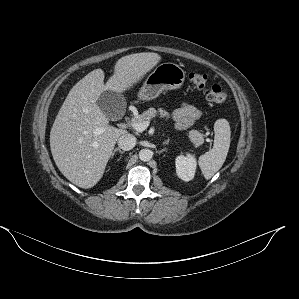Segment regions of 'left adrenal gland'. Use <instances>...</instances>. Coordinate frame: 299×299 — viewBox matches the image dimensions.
<instances>
[{"mask_svg":"<svg viewBox=\"0 0 299 299\" xmlns=\"http://www.w3.org/2000/svg\"><path fill=\"white\" fill-rule=\"evenodd\" d=\"M168 143H169V139L166 140L165 142H163L164 145H165V144H168Z\"/></svg>","mask_w":299,"mask_h":299,"instance_id":"a2214340","label":"left adrenal gland"}]
</instances>
